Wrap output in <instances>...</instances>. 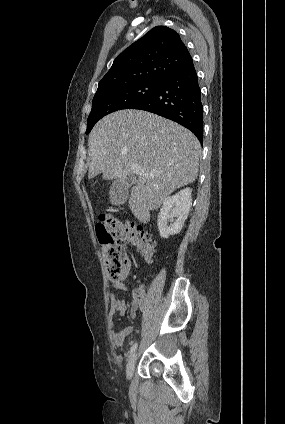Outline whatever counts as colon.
I'll list each match as a JSON object with an SVG mask.
<instances>
[{
  "mask_svg": "<svg viewBox=\"0 0 285 424\" xmlns=\"http://www.w3.org/2000/svg\"><path fill=\"white\" fill-rule=\"evenodd\" d=\"M98 241L103 248V258L109 278L117 280L127 263L125 242L137 247L147 261L157 254V246L151 235L141 226L133 225L116 216H101L95 225Z\"/></svg>",
  "mask_w": 285,
  "mask_h": 424,
  "instance_id": "1",
  "label": "colon"
}]
</instances>
